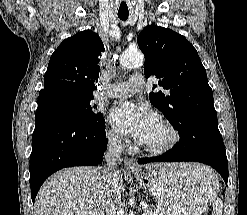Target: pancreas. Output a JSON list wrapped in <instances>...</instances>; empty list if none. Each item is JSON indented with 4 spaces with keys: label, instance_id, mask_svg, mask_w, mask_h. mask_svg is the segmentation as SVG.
Masks as SVG:
<instances>
[{
    "label": "pancreas",
    "instance_id": "1",
    "mask_svg": "<svg viewBox=\"0 0 247 215\" xmlns=\"http://www.w3.org/2000/svg\"><path fill=\"white\" fill-rule=\"evenodd\" d=\"M142 215H164V213L160 210L152 209V208H140Z\"/></svg>",
    "mask_w": 247,
    "mask_h": 215
}]
</instances>
